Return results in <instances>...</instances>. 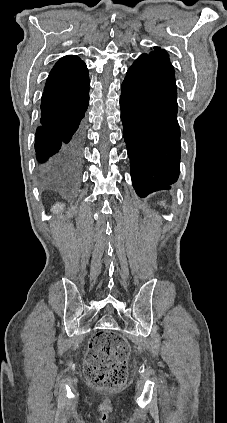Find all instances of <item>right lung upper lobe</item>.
<instances>
[{
  "label": "right lung upper lobe",
  "instance_id": "right-lung-upper-lobe-1",
  "mask_svg": "<svg viewBox=\"0 0 227 423\" xmlns=\"http://www.w3.org/2000/svg\"><path fill=\"white\" fill-rule=\"evenodd\" d=\"M89 91L88 70L77 56L61 58L51 70L44 89V97L67 99Z\"/></svg>",
  "mask_w": 227,
  "mask_h": 423
}]
</instances>
